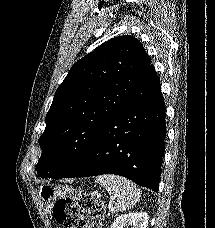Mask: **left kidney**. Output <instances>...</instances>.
Here are the masks:
<instances>
[{
    "instance_id": "5707ae66",
    "label": "left kidney",
    "mask_w": 215,
    "mask_h": 228,
    "mask_svg": "<svg viewBox=\"0 0 215 228\" xmlns=\"http://www.w3.org/2000/svg\"><path fill=\"white\" fill-rule=\"evenodd\" d=\"M147 228L148 214L146 212H135V214H124L114 220L111 228Z\"/></svg>"
}]
</instances>
